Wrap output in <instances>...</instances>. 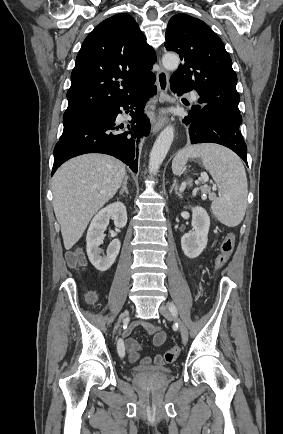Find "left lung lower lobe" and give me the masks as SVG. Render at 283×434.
Returning a JSON list of instances; mask_svg holds the SVG:
<instances>
[{"mask_svg": "<svg viewBox=\"0 0 283 434\" xmlns=\"http://www.w3.org/2000/svg\"><path fill=\"white\" fill-rule=\"evenodd\" d=\"M171 90L178 96L188 88L170 79ZM183 123L188 127L191 144L217 143L233 150L247 164V147L240 131V113L213 104L198 103L189 110Z\"/></svg>", "mask_w": 283, "mask_h": 434, "instance_id": "1", "label": "left lung lower lobe"}]
</instances>
